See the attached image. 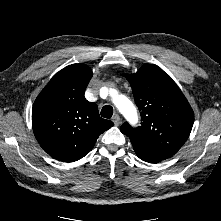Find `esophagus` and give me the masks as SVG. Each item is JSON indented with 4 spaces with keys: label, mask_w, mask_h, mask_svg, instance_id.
Returning a JSON list of instances; mask_svg holds the SVG:
<instances>
[{
    "label": "esophagus",
    "mask_w": 221,
    "mask_h": 221,
    "mask_svg": "<svg viewBox=\"0 0 221 221\" xmlns=\"http://www.w3.org/2000/svg\"><path fill=\"white\" fill-rule=\"evenodd\" d=\"M112 121L115 124V126H119L121 124V119L117 114L113 116Z\"/></svg>",
    "instance_id": "1"
}]
</instances>
